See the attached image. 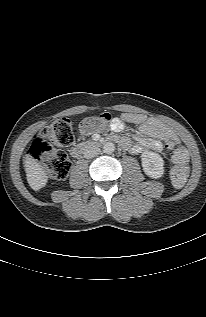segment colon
I'll use <instances>...</instances> for the list:
<instances>
[{
    "label": "colon",
    "instance_id": "1",
    "mask_svg": "<svg viewBox=\"0 0 206 317\" xmlns=\"http://www.w3.org/2000/svg\"><path fill=\"white\" fill-rule=\"evenodd\" d=\"M111 121L109 113H100L85 118L80 124V132L85 135L102 132ZM74 142L73 126L68 118H61L41 130L29 149L31 158L38 160L44 166L48 175L56 180H62L69 174L71 163L66 153L57 147H68ZM173 143H170L171 147ZM188 152L178 147L173 154L174 166L171 179L174 185L181 186L188 177Z\"/></svg>",
    "mask_w": 206,
    "mask_h": 317
}]
</instances>
